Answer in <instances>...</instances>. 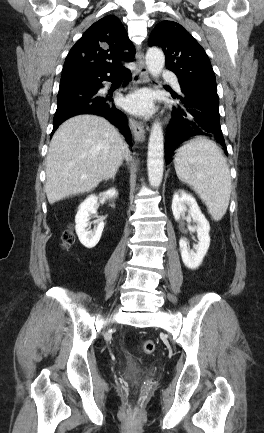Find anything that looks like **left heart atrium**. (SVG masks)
<instances>
[{"label":"left heart atrium","mask_w":264,"mask_h":433,"mask_svg":"<svg viewBox=\"0 0 264 433\" xmlns=\"http://www.w3.org/2000/svg\"><path fill=\"white\" fill-rule=\"evenodd\" d=\"M124 106L133 113L147 114L152 108V97L147 91H140L129 96Z\"/></svg>","instance_id":"obj_1"}]
</instances>
